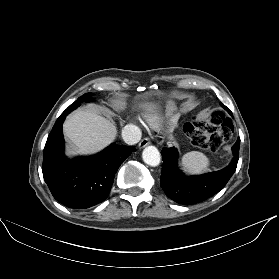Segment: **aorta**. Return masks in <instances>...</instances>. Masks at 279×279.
Here are the masks:
<instances>
[{
  "label": "aorta",
  "mask_w": 279,
  "mask_h": 279,
  "mask_svg": "<svg viewBox=\"0 0 279 279\" xmlns=\"http://www.w3.org/2000/svg\"><path fill=\"white\" fill-rule=\"evenodd\" d=\"M143 161L152 167H156L160 164V153L155 146H147L142 153Z\"/></svg>",
  "instance_id": "obj_1"
}]
</instances>
